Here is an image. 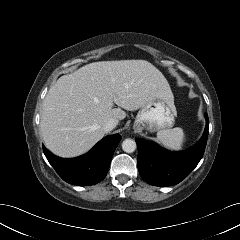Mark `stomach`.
<instances>
[{
	"mask_svg": "<svg viewBox=\"0 0 240 240\" xmlns=\"http://www.w3.org/2000/svg\"><path fill=\"white\" fill-rule=\"evenodd\" d=\"M177 115L174 100L158 97L141 107L134 128L137 130L161 131L174 126Z\"/></svg>",
	"mask_w": 240,
	"mask_h": 240,
	"instance_id": "1",
	"label": "stomach"
}]
</instances>
